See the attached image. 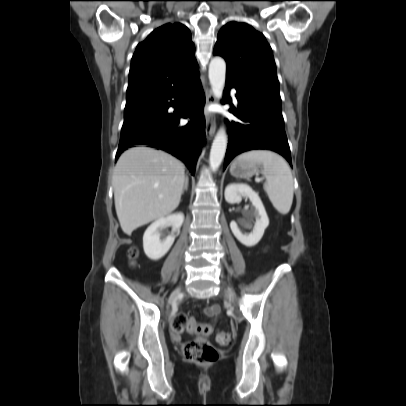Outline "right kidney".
I'll return each mask as SVG.
<instances>
[{"mask_svg": "<svg viewBox=\"0 0 406 406\" xmlns=\"http://www.w3.org/2000/svg\"><path fill=\"white\" fill-rule=\"evenodd\" d=\"M184 222L182 213L171 214L165 218H160L153 222L145 231L143 236V248L148 258L159 260L171 248L175 240L174 233H177ZM172 226V234L161 240L160 230L167 226Z\"/></svg>", "mask_w": 406, "mask_h": 406, "instance_id": "ca27d5eb", "label": "right kidney"}]
</instances>
